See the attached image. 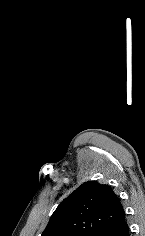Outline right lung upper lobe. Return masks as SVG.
<instances>
[{
  "instance_id": "right-lung-upper-lobe-1",
  "label": "right lung upper lobe",
  "mask_w": 145,
  "mask_h": 236,
  "mask_svg": "<svg viewBox=\"0 0 145 236\" xmlns=\"http://www.w3.org/2000/svg\"><path fill=\"white\" fill-rule=\"evenodd\" d=\"M124 215L108 185L85 182L59 204L41 236H97Z\"/></svg>"
}]
</instances>
